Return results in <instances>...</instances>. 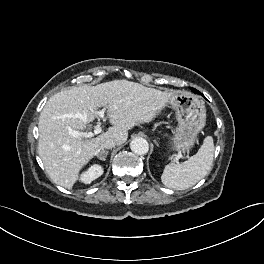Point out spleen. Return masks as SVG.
Instances as JSON below:
<instances>
[{"instance_id": "spleen-1", "label": "spleen", "mask_w": 264, "mask_h": 264, "mask_svg": "<svg viewBox=\"0 0 264 264\" xmlns=\"http://www.w3.org/2000/svg\"><path fill=\"white\" fill-rule=\"evenodd\" d=\"M213 157V138L207 136L196 155L182 163H169L164 168L161 181L166 187L177 190L192 187L211 170Z\"/></svg>"}]
</instances>
